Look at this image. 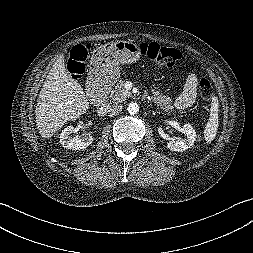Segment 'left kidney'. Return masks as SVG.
<instances>
[{"instance_id":"1","label":"left kidney","mask_w":253,"mask_h":253,"mask_svg":"<svg viewBox=\"0 0 253 253\" xmlns=\"http://www.w3.org/2000/svg\"><path fill=\"white\" fill-rule=\"evenodd\" d=\"M180 131L182 133H184L187 138L181 140V138H176V139H172V141H170L167 144V147L171 150V151H175V152H183L185 150H187L188 148H191V146H193L196 138H197V134L196 131L194 130V128L192 127L191 124H184L182 126V128L180 129Z\"/></svg>"}]
</instances>
